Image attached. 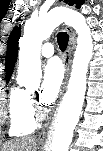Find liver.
Listing matches in <instances>:
<instances>
[{"mask_svg":"<svg viewBox=\"0 0 103 151\" xmlns=\"http://www.w3.org/2000/svg\"><path fill=\"white\" fill-rule=\"evenodd\" d=\"M37 143L35 137H21L5 142L0 151H36Z\"/></svg>","mask_w":103,"mask_h":151,"instance_id":"liver-1","label":"liver"}]
</instances>
